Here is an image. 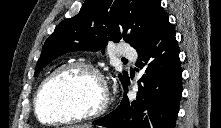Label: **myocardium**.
Masks as SVG:
<instances>
[{"instance_id": "obj_1", "label": "myocardium", "mask_w": 221, "mask_h": 128, "mask_svg": "<svg viewBox=\"0 0 221 128\" xmlns=\"http://www.w3.org/2000/svg\"><path fill=\"white\" fill-rule=\"evenodd\" d=\"M81 69L84 71H87L91 73L97 80L100 89H101V97L99 102L92 106V109H86L83 112L74 114V115H68L66 117L61 118H53L50 120H46L41 116L40 110H39V104L41 101V97L43 94L44 89L46 86L55 78L69 72L72 70ZM109 105V93L107 89L106 82L100 73V71L94 67L93 65L85 62H71L68 64H65L58 69L54 70L52 73H50L39 85L35 98H34V113L36 118L45 124H67L71 122H77L85 119L90 118H97L101 116L108 108Z\"/></svg>"}]
</instances>
